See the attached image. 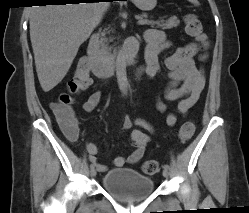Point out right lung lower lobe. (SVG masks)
<instances>
[{"mask_svg":"<svg viewBox=\"0 0 249 213\" xmlns=\"http://www.w3.org/2000/svg\"><path fill=\"white\" fill-rule=\"evenodd\" d=\"M44 2L42 3H55V4H66V3H78L82 0H43ZM105 1H114V0H105ZM93 3V2H92Z\"/></svg>","mask_w":249,"mask_h":213,"instance_id":"1","label":"right lung lower lobe"}]
</instances>
